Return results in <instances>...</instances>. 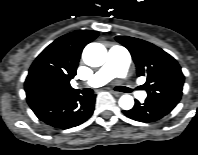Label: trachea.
<instances>
[{
    "instance_id": "trachea-1",
    "label": "trachea",
    "mask_w": 198,
    "mask_h": 155,
    "mask_svg": "<svg viewBox=\"0 0 198 155\" xmlns=\"http://www.w3.org/2000/svg\"><path fill=\"white\" fill-rule=\"evenodd\" d=\"M115 90H116V91H121V92H127V93L130 92V89H129V88H127V87H122V86H117V87L115 88ZM83 94H84L85 96L91 95V94H93V90L87 88V89H85V90L83 91Z\"/></svg>"
}]
</instances>
